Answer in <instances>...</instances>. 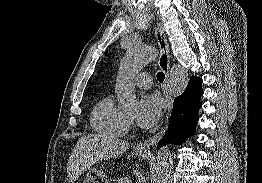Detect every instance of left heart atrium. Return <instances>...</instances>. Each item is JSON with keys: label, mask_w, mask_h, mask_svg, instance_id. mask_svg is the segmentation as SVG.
Here are the masks:
<instances>
[{"label": "left heart atrium", "mask_w": 262, "mask_h": 183, "mask_svg": "<svg viewBox=\"0 0 262 183\" xmlns=\"http://www.w3.org/2000/svg\"><path fill=\"white\" fill-rule=\"evenodd\" d=\"M161 116V101L155 94H145L140 99L137 122L143 128L155 126Z\"/></svg>", "instance_id": "obj_1"}]
</instances>
